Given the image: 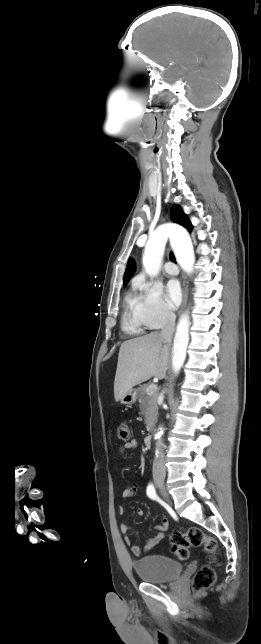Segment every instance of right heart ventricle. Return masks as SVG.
Wrapping results in <instances>:
<instances>
[{
    "instance_id": "1",
    "label": "right heart ventricle",
    "mask_w": 261,
    "mask_h": 644,
    "mask_svg": "<svg viewBox=\"0 0 261 644\" xmlns=\"http://www.w3.org/2000/svg\"><path fill=\"white\" fill-rule=\"evenodd\" d=\"M146 325L144 324L138 310V299L132 293L125 297V312L123 316V329L130 334L141 333Z\"/></svg>"
}]
</instances>
